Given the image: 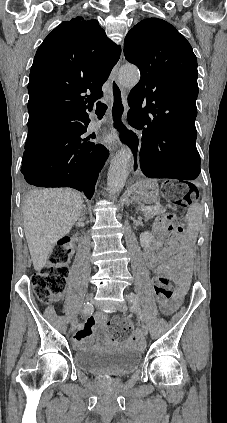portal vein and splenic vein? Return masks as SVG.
Here are the masks:
<instances>
[{
  "label": "portal vein and splenic vein",
  "mask_w": 227,
  "mask_h": 423,
  "mask_svg": "<svg viewBox=\"0 0 227 423\" xmlns=\"http://www.w3.org/2000/svg\"><path fill=\"white\" fill-rule=\"evenodd\" d=\"M159 206H148V208H141V211H154L158 210Z\"/></svg>",
  "instance_id": "obj_1"
}]
</instances>
